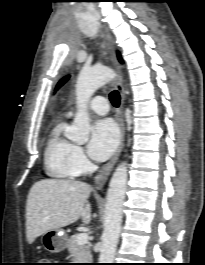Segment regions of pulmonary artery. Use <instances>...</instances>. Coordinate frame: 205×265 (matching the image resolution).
<instances>
[{"instance_id": "1", "label": "pulmonary artery", "mask_w": 205, "mask_h": 265, "mask_svg": "<svg viewBox=\"0 0 205 265\" xmlns=\"http://www.w3.org/2000/svg\"><path fill=\"white\" fill-rule=\"evenodd\" d=\"M89 108L97 114L104 115L108 112L109 105L104 97L98 96L90 102ZM69 115H72V112H69Z\"/></svg>"}]
</instances>
